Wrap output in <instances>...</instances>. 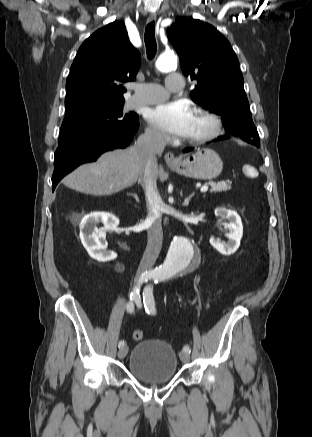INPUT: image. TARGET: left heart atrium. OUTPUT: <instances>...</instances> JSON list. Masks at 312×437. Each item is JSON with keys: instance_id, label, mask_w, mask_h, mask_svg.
I'll use <instances>...</instances> for the list:
<instances>
[{"instance_id": "left-heart-atrium-1", "label": "left heart atrium", "mask_w": 312, "mask_h": 437, "mask_svg": "<svg viewBox=\"0 0 312 437\" xmlns=\"http://www.w3.org/2000/svg\"><path fill=\"white\" fill-rule=\"evenodd\" d=\"M194 114L183 102H164L151 109L147 119L164 132L186 137L191 131Z\"/></svg>"}]
</instances>
